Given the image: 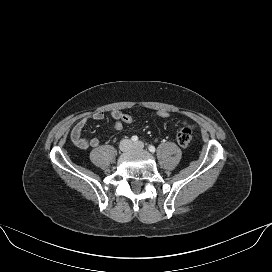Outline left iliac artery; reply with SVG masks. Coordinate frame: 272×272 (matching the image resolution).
Returning <instances> with one entry per match:
<instances>
[{"instance_id":"44dca946","label":"left iliac artery","mask_w":272,"mask_h":272,"mask_svg":"<svg viewBox=\"0 0 272 272\" xmlns=\"http://www.w3.org/2000/svg\"><path fill=\"white\" fill-rule=\"evenodd\" d=\"M148 149H149V151L152 152V153L155 152V147H154L153 145H150V146L148 147Z\"/></svg>"}]
</instances>
